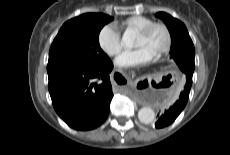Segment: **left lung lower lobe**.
Here are the masks:
<instances>
[{"label":"left lung lower lobe","mask_w":230,"mask_h":155,"mask_svg":"<svg viewBox=\"0 0 230 155\" xmlns=\"http://www.w3.org/2000/svg\"><path fill=\"white\" fill-rule=\"evenodd\" d=\"M191 85H192V76L187 75L186 83L180 93L179 99L175 102L174 105H172L168 110L165 111L164 114H162L159 117L158 121L155 123L156 128H163L174 122V120L182 112V110L184 109L188 101Z\"/></svg>","instance_id":"0a47b994"}]
</instances>
